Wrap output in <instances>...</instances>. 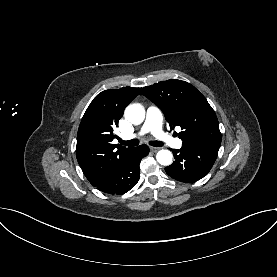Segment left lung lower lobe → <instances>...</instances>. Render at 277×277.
Segmentation results:
<instances>
[{
    "label": "left lung lower lobe",
    "instance_id": "1",
    "mask_svg": "<svg viewBox=\"0 0 277 277\" xmlns=\"http://www.w3.org/2000/svg\"><path fill=\"white\" fill-rule=\"evenodd\" d=\"M221 142L183 145L174 149L175 161L165 168L166 173L181 182L192 183L203 178L212 168Z\"/></svg>",
    "mask_w": 277,
    "mask_h": 277
}]
</instances>
